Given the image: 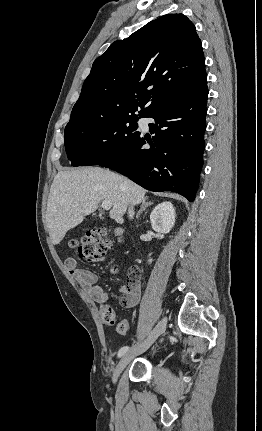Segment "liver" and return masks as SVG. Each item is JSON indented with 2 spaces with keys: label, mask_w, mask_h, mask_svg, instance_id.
I'll return each instance as SVG.
<instances>
[{
  "label": "liver",
  "mask_w": 262,
  "mask_h": 431,
  "mask_svg": "<svg viewBox=\"0 0 262 431\" xmlns=\"http://www.w3.org/2000/svg\"><path fill=\"white\" fill-rule=\"evenodd\" d=\"M146 190L110 170L83 167L59 171L50 188L46 225L53 244H59L68 230L96 211L100 201H110V218L119 223L127 207L145 200Z\"/></svg>",
  "instance_id": "liver-1"
}]
</instances>
